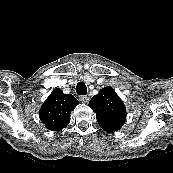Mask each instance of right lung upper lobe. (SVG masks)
Wrapping results in <instances>:
<instances>
[{
  "instance_id": "1",
  "label": "right lung upper lobe",
  "mask_w": 173,
  "mask_h": 173,
  "mask_svg": "<svg viewBox=\"0 0 173 173\" xmlns=\"http://www.w3.org/2000/svg\"><path fill=\"white\" fill-rule=\"evenodd\" d=\"M79 104L72 94L54 89L40 108V119L52 131H61L70 122L71 111Z\"/></svg>"
}]
</instances>
